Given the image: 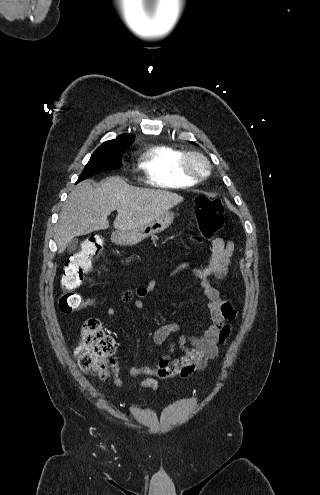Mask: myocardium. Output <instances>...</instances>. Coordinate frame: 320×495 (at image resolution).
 I'll list each match as a JSON object with an SVG mask.
<instances>
[{
    "label": "myocardium",
    "instance_id": "1",
    "mask_svg": "<svg viewBox=\"0 0 320 495\" xmlns=\"http://www.w3.org/2000/svg\"><path fill=\"white\" fill-rule=\"evenodd\" d=\"M196 162L202 164V170L195 167ZM180 168L187 177L194 181H201L210 175L212 167L209 159L202 152L190 150L183 153Z\"/></svg>",
    "mask_w": 320,
    "mask_h": 495
}]
</instances>
